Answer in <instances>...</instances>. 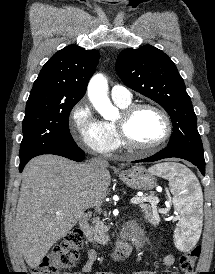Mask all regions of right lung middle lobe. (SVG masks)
I'll return each mask as SVG.
<instances>
[{"label": "right lung middle lobe", "mask_w": 215, "mask_h": 274, "mask_svg": "<svg viewBox=\"0 0 215 274\" xmlns=\"http://www.w3.org/2000/svg\"><path fill=\"white\" fill-rule=\"evenodd\" d=\"M75 102H27L20 160L76 146L68 125Z\"/></svg>", "instance_id": "right-lung-middle-lobe-1"}]
</instances>
